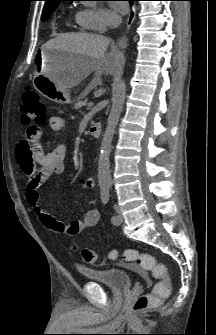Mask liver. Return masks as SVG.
<instances>
[{
	"label": "liver",
	"instance_id": "1",
	"mask_svg": "<svg viewBox=\"0 0 216 335\" xmlns=\"http://www.w3.org/2000/svg\"><path fill=\"white\" fill-rule=\"evenodd\" d=\"M110 39L98 34L67 33L49 40L42 48L61 50L73 54L70 65L62 73L52 76L63 89L79 85L95 71V81L102 74L112 75L122 60V53L113 50L107 53Z\"/></svg>",
	"mask_w": 216,
	"mask_h": 335
}]
</instances>
